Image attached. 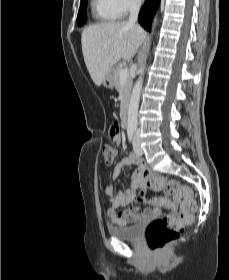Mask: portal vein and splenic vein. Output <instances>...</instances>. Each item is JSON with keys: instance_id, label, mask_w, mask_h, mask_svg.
<instances>
[{"instance_id": "18ae733b", "label": "portal vein and splenic vein", "mask_w": 229, "mask_h": 280, "mask_svg": "<svg viewBox=\"0 0 229 280\" xmlns=\"http://www.w3.org/2000/svg\"><path fill=\"white\" fill-rule=\"evenodd\" d=\"M119 74H120V79L121 80L126 79L128 77V75H129L128 69L127 68H122L120 70Z\"/></svg>"}]
</instances>
